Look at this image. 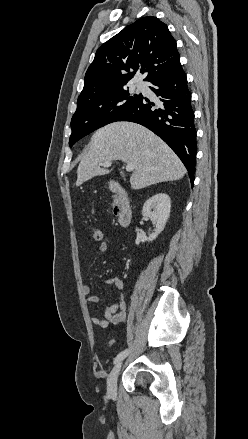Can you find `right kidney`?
Here are the masks:
<instances>
[{
	"label": "right kidney",
	"instance_id": "right-kidney-1",
	"mask_svg": "<svg viewBox=\"0 0 248 439\" xmlns=\"http://www.w3.org/2000/svg\"><path fill=\"white\" fill-rule=\"evenodd\" d=\"M171 199L166 193H158L150 197L143 206V216L149 217L151 221L156 223L154 233L148 238L140 233V230L136 228L137 238L135 240L136 245L141 242L153 241L164 230L166 222L170 216Z\"/></svg>",
	"mask_w": 248,
	"mask_h": 439
}]
</instances>
